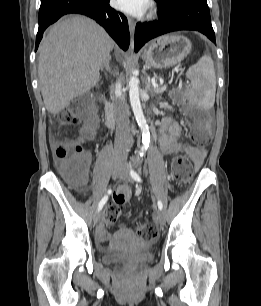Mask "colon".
<instances>
[{
	"label": "colon",
	"instance_id": "5ec220e1",
	"mask_svg": "<svg viewBox=\"0 0 261 306\" xmlns=\"http://www.w3.org/2000/svg\"><path fill=\"white\" fill-rule=\"evenodd\" d=\"M175 97L182 98L177 92ZM60 123L64 126L83 125L82 138L74 140H61L55 149V158L63 176L72 184L81 186L87 179V167L83 151V139L93 134L95 125V113L89 96H83L74 100L60 115ZM188 121L191 124L190 138L200 146H206L210 141L209 120L201 111L189 107ZM172 176L179 184L188 183L193 177V165L185 154L176 155L171 164ZM130 196L127 186H122L114 194V200L110 203L103 215V224L110 227L121 214V205ZM138 235L147 241L153 240L158 230L151 223H141L136 227Z\"/></svg>",
	"mask_w": 261,
	"mask_h": 306
}]
</instances>
